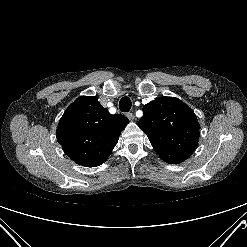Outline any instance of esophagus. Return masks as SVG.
<instances>
[{"label":"esophagus","instance_id":"obj_1","mask_svg":"<svg viewBox=\"0 0 247 247\" xmlns=\"http://www.w3.org/2000/svg\"><path fill=\"white\" fill-rule=\"evenodd\" d=\"M126 116L128 117V119H129L130 121H133V120L135 119L134 114L131 113V112L127 113Z\"/></svg>","mask_w":247,"mask_h":247}]
</instances>
